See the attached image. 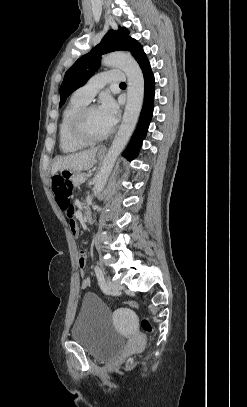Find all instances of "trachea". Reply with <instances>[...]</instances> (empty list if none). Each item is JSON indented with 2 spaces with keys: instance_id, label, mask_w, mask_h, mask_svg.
Wrapping results in <instances>:
<instances>
[{
  "instance_id": "3493384b",
  "label": "trachea",
  "mask_w": 247,
  "mask_h": 407,
  "mask_svg": "<svg viewBox=\"0 0 247 407\" xmlns=\"http://www.w3.org/2000/svg\"><path fill=\"white\" fill-rule=\"evenodd\" d=\"M120 85H126L125 83H120Z\"/></svg>"
}]
</instances>
